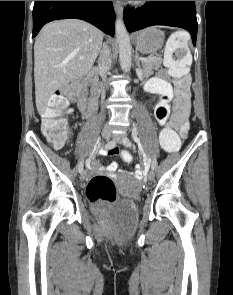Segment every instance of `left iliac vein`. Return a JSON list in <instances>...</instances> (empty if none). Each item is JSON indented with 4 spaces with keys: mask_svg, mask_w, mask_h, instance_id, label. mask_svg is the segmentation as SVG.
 Segmentation results:
<instances>
[{
    "mask_svg": "<svg viewBox=\"0 0 233 295\" xmlns=\"http://www.w3.org/2000/svg\"><path fill=\"white\" fill-rule=\"evenodd\" d=\"M126 136L125 135H113V140L117 143L123 144L126 147H130V145H126L125 144V140H126ZM147 179L149 181H152L154 179V172L152 170H150L147 174Z\"/></svg>",
    "mask_w": 233,
    "mask_h": 295,
    "instance_id": "obj_1",
    "label": "left iliac vein"
}]
</instances>
